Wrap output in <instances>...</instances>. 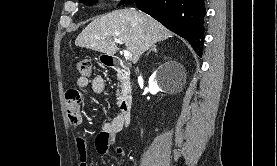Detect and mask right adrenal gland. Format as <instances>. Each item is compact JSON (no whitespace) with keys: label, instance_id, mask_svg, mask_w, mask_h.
Listing matches in <instances>:
<instances>
[{"label":"right adrenal gland","instance_id":"2a0ac1e0","mask_svg":"<svg viewBox=\"0 0 277 166\" xmlns=\"http://www.w3.org/2000/svg\"><path fill=\"white\" fill-rule=\"evenodd\" d=\"M151 51H153L154 53H157V52H158V51H157L156 45H153V46L151 47V49L149 50V52L147 53V55H148Z\"/></svg>","mask_w":277,"mask_h":166}]
</instances>
